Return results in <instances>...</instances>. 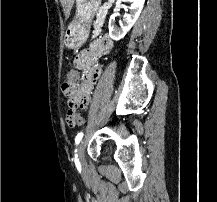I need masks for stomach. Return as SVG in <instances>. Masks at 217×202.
<instances>
[{
	"label": "stomach",
	"instance_id": "0dacf381",
	"mask_svg": "<svg viewBox=\"0 0 217 202\" xmlns=\"http://www.w3.org/2000/svg\"><path fill=\"white\" fill-rule=\"evenodd\" d=\"M101 0H76L75 16L67 26L64 46L68 50H79L90 34L92 20L99 8Z\"/></svg>",
	"mask_w": 217,
	"mask_h": 202
}]
</instances>
